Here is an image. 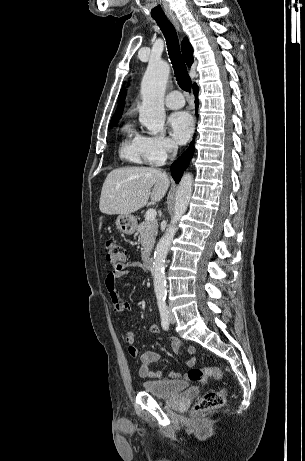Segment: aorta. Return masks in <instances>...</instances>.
Wrapping results in <instances>:
<instances>
[{
    "label": "aorta",
    "mask_w": 305,
    "mask_h": 461,
    "mask_svg": "<svg viewBox=\"0 0 305 461\" xmlns=\"http://www.w3.org/2000/svg\"><path fill=\"white\" fill-rule=\"evenodd\" d=\"M170 73L165 61H150L141 83L142 105L139 109L140 122L151 134H159L165 123L164 95ZM193 177L186 173L176 191L174 214L169 227L159 240L153 262V283L157 297H164L166 291L165 260L177 231V223L187 210L192 195Z\"/></svg>",
    "instance_id": "obj_1"
}]
</instances>
